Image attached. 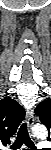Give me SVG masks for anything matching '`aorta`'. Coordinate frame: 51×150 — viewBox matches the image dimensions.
Here are the masks:
<instances>
[{"label": "aorta", "mask_w": 51, "mask_h": 150, "mask_svg": "<svg viewBox=\"0 0 51 150\" xmlns=\"http://www.w3.org/2000/svg\"><path fill=\"white\" fill-rule=\"evenodd\" d=\"M32 133L41 139H45L48 135V131L44 125L37 124L32 127Z\"/></svg>", "instance_id": "obj_1"}]
</instances>
